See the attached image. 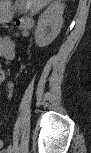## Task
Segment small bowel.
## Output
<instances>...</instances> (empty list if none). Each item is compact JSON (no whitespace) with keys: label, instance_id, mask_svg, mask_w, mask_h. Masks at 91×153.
Wrapping results in <instances>:
<instances>
[{"label":"small bowel","instance_id":"obj_1","mask_svg":"<svg viewBox=\"0 0 91 153\" xmlns=\"http://www.w3.org/2000/svg\"><path fill=\"white\" fill-rule=\"evenodd\" d=\"M1 52L3 54L4 57H11L12 53H13V42H10L8 45H4L1 48ZM0 79L4 80L5 79V74L4 73H0ZM12 85L9 84V88L11 89ZM13 97V93L11 90H9L6 94V98L7 100H11ZM4 153H11L12 152V147L9 146L6 149L3 150Z\"/></svg>","mask_w":91,"mask_h":153}]
</instances>
